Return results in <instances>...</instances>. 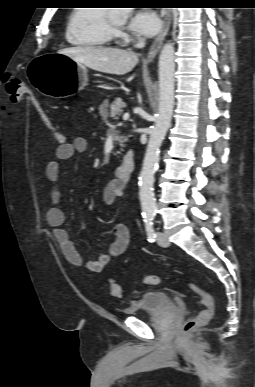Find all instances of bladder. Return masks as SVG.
Here are the masks:
<instances>
[{"instance_id":"1","label":"bladder","mask_w":255,"mask_h":387,"mask_svg":"<svg viewBox=\"0 0 255 387\" xmlns=\"http://www.w3.org/2000/svg\"><path fill=\"white\" fill-rule=\"evenodd\" d=\"M173 306L172 298L167 293L149 291L125 308L123 314L128 316H137L140 313L157 314Z\"/></svg>"}]
</instances>
